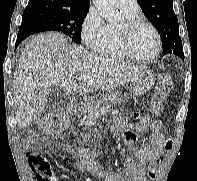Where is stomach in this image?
Returning <instances> with one entry per match:
<instances>
[{"mask_svg": "<svg viewBox=\"0 0 197 181\" xmlns=\"http://www.w3.org/2000/svg\"><path fill=\"white\" fill-rule=\"evenodd\" d=\"M155 77L151 72H145L137 80L132 82L130 93L122 96L118 92H107L97 102L103 103L107 101L127 102L131 97H138L146 94L154 85ZM96 102L90 101L89 105H94Z\"/></svg>", "mask_w": 197, "mask_h": 181, "instance_id": "obj_1", "label": "stomach"}]
</instances>
